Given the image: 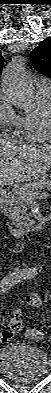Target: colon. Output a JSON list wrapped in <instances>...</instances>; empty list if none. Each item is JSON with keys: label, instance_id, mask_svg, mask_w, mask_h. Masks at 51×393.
<instances>
[{"label": "colon", "instance_id": "1", "mask_svg": "<svg viewBox=\"0 0 51 393\" xmlns=\"http://www.w3.org/2000/svg\"><path fill=\"white\" fill-rule=\"evenodd\" d=\"M9 327L12 332L19 331L22 327V320L18 317H14L9 322Z\"/></svg>", "mask_w": 51, "mask_h": 393}]
</instances>
